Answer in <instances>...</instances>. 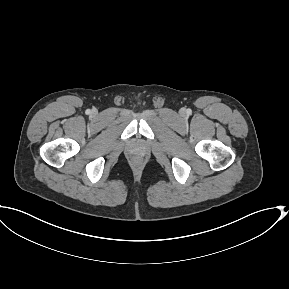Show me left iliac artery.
I'll return each mask as SVG.
<instances>
[{
	"label": "left iliac artery",
	"instance_id": "1",
	"mask_svg": "<svg viewBox=\"0 0 289 289\" xmlns=\"http://www.w3.org/2000/svg\"><path fill=\"white\" fill-rule=\"evenodd\" d=\"M187 113H188V114H191V110H190V109H188V110H187Z\"/></svg>",
	"mask_w": 289,
	"mask_h": 289
}]
</instances>
